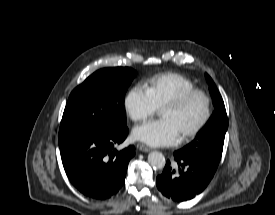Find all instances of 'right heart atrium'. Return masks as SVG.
I'll return each mask as SVG.
<instances>
[{
  "label": "right heart atrium",
  "mask_w": 275,
  "mask_h": 215,
  "mask_svg": "<svg viewBox=\"0 0 275 215\" xmlns=\"http://www.w3.org/2000/svg\"><path fill=\"white\" fill-rule=\"evenodd\" d=\"M124 106L128 116L135 122L148 119L158 109L147 90L141 85H136L128 91Z\"/></svg>",
  "instance_id": "d8ad5b80"
}]
</instances>
